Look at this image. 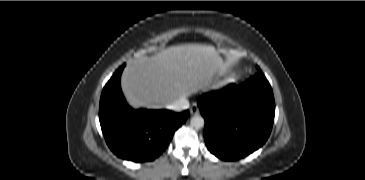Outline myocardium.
<instances>
[{"mask_svg": "<svg viewBox=\"0 0 365 180\" xmlns=\"http://www.w3.org/2000/svg\"><path fill=\"white\" fill-rule=\"evenodd\" d=\"M235 80L234 76H229V77H226L222 80H220L217 85H216V89H222L228 85H230L231 83H233Z\"/></svg>", "mask_w": 365, "mask_h": 180, "instance_id": "f54148a6", "label": "myocardium"}]
</instances>
